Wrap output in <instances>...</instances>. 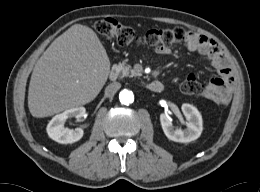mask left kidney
<instances>
[{
    "mask_svg": "<svg viewBox=\"0 0 260 192\" xmlns=\"http://www.w3.org/2000/svg\"><path fill=\"white\" fill-rule=\"evenodd\" d=\"M181 109L187 120V128L184 130L174 129L171 117L163 113L160 115V122L164 134L168 139L175 142L187 143L194 141L200 137L203 130L202 116L197 108L191 104L185 103Z\"/></svg>",
    "mask_w": 260,
    "mask_h": 192,
    "instance_id": "left-kidney-1",
    "label": "left kidney"
}]
</instances>
